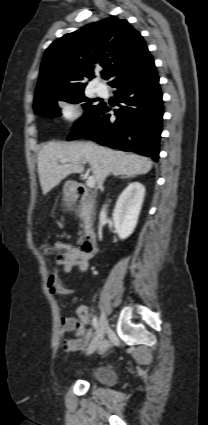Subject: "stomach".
Segmentation results:
<instances>
[{"label":"stomach","mask_w":208,"mask_h":425,"mask_svg":"<svg viewBox=\"0 0 208 425\" xmlns=\"http://www.w3.org/2000/svg\"><path fill=\"white\" fill-rule=\"evenodd\" d=\"M76 184L73 181H67L64 184V194L67 199H71L75 196Z\"/></svg>","instance_id":"stomach-1"}]
</instances>
